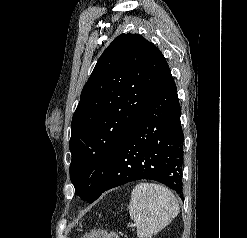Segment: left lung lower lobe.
I'll return each instance as SVG.
<instances>
[{"label":"left lung lower lobe","instance_id":"obj_1","mask_svg":"<svg viewBox=\"0 0 247 238\" xmlns=\"http://www.w3.org/2000/svg\"><path fill=\"white\" fill-rule=\"evenodd\" d=\"M180 115L177 88L167 65L156 91L119 147L100 195L131 181L150 179L182 197Z\"/></svg>","mask_w":247,"mask_h":238}]
</instances>
